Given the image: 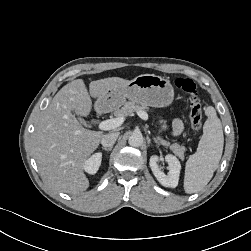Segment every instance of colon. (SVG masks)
Returning a JSON list of instances; mask_svg holds the SVG:
<instances>
[{
    "label": "colon",
    "instance_id": "1",
    "mask_svg": "<svg viewBox=\"0 0 251 251\" xmlns=\"http://www.w3.org/2000/svg\"><path fill=\"white\" fill-rule=\"evenodd\" d=\"M174 84L177 88L189 95L190 122L194 130H199L202 125V105L196 94V85L194 81L187 78H177Z\"/></svg>",
    "mask_w": 251,
    "mask_h": 251
}]
</instances>
